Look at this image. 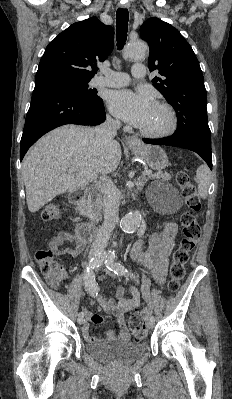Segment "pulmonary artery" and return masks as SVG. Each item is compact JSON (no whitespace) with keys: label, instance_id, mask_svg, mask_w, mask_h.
<instances>
[{"label":"pulmonary artery","instance_id":"pulmonary-artery-1","mask_svg":"<svg viewBox=\"0 0 232 399\" xmlns=\"http://www.w3.org/2000/svg\"><path fill=\"white\" fill-rule=\"evenodd\" d=\"M132 77H128L123 70L119 73L116 69H103L92 80V86L101 87L103 90H116L118 84L122 90L127 88L126 84H132L133 80H143L145 71L142 63H135Z\"/></svg>","mask_w":232,"mask_h":399}]
</instances>
